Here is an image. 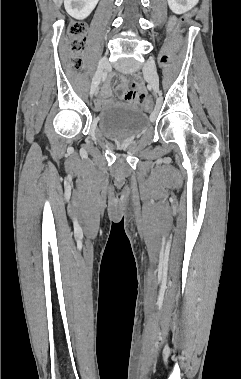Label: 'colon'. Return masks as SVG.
<instances>
[{"mask_svg": "<svg viewBox=\"0 0 241 379\" xmlns=\"http://www.w3.org/2000/svg\"><path fill=\"white\" fill-rule=\"evenodd\" d=\"M194 12V11H193ZM191 19L190 13H183L181 23L184 24V29H189V24L186 22ZM174 23L173 32L169 33L167 37V42L169 44H164L159 46V53L156 54L155 62L161 65H170L175 62L174 54L177 53V48L179 43L185 38V33L182 32V24ZM186 23V24H185ZM86 32L87 27L83 23H72L67 32V53L70 62L73 66L78 67L81 61V56L85 50L86 46ZM142 106L144 109L151 108V99L143 98Z\"/></svg>", "mask_w": 241, "mask_h": 379, "instance_id": "1", "label": "colon"}]
</instances>
